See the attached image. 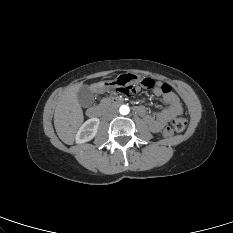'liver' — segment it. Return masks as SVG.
I'll return each mask as SVG.
<instances>
[{"mask_svg":"<svg viewBox=\"0 0 233 233\" xmlns=\"http://www.w3.org/2000/svg\"><path fill=\"white\" fill-rule=\"evenodd\" d=\"M82 84H75L66 89L59 97L55 113L54 126L58 137L66 144H72L75 134L84 116L77 99V92ZM97 85H92V91H96Z\"/></svg>","mask_w":233,"mask_h":233,"instance_id":"liver-1","label":"liver"}]
</instances>
